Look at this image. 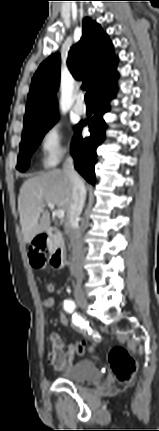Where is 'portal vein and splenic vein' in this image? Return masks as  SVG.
Masks as SVG:
<instances>
[{
    "label": "portal vein and splenic vein",
    "mask_w": 159,
    "mask_h": 431,
    "mask_svg": "<svg viewBox=\"0 0 159 431\" xmlns=\"http://www.w3.org/2000/svg\"><path fill=\"white\" fill-rule=\"evenodd\" d=\"M47 206H48V208H50V209H54V207H55V205H54L52 202H47ZM39 209H40V210H42V209H43V207L41 206ZM55 214H56V216H57L59 219H62V218H64V216H65V212H64V210H62V209H58V210H56V211H55Z\"/></svg>",
    "instance_id": "obj_1"
}]
</instances>
